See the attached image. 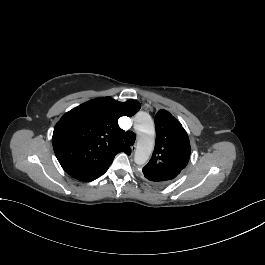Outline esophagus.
Instances as JSON below:
<instances>
[{"mask_svg": "<svg viewBox=\"0 0 265 265\" xmlns=\"http://www.w3.org/2000/svg\"><path fill=\"white\" fill-rule=\"evenodd\" d=\"M131 149H132V152H135V150H136V145H133V146L131 147Z\"/></svg>", "mask_w": 265, "mask_h": 265, "instance_id": "obj_1", "label": "esophagus"}]
</instances>
